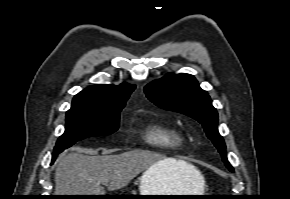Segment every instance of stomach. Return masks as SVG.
<instances>
[{
    "label": "stomach",
    "mask_w": 290,
    "mask_h": 199,
    "mask_svg": "<svg viewBox=\"0 0 290 199\" xmlns=\"http://www.w3.org/2000/svg\"><path fill=\"white\" fill-rule=\"evenodd\" d=\"M157 171L156 174L154 172ZM178 179L172 174H168L159 168V165L146 169L140 177V195H201L204 189V178L201 173L195 175L193 193L178 194L174 192ZM155 199H193V197H143Z\"/></svg>",
    "instance_id": "0dacf381"
}]
</instances>
